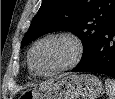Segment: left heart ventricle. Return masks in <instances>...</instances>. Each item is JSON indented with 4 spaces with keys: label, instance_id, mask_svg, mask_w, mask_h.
Wrapping results in <instances>:
<instances>
[{
    "label": "left heart ventricle",
    "instance_id": "obj_1",
    "mask_svg": "<svg viewBox=\"0 0 115 99\" xmlns=\"http://www.w3.org/2000/svg\"><path fill=\"white\" fill-rule=\"evenodd\" d=\"M74 55L73 44L66 39H51L35 50L33 61L41 72H49L67 64Z\"/></svg>",
    "mask_w": 115,
    "mask_h": 99
}]
</instances>
